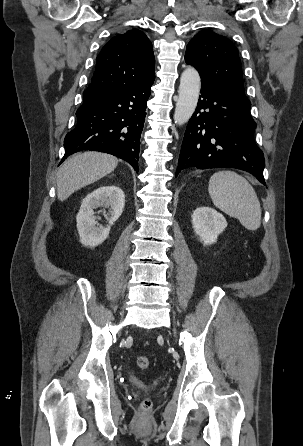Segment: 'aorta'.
<instances>
[{"label": "aorta", "instance_id": "obj_1", "mask_svg": "<svg viewBox=\"0 0 303 446\" xmlns=\"http://www.w3.org/2000/svg\"><path fill=\"white\" fill-rule=\"evenodd\" d=\"M201 79L198 71L187 67L180 79L179 95L174 112V122L183 125L193 115L199 98Z\"/></svg>", "mask_w": 303, "mask_h": 446}]
</instances>
